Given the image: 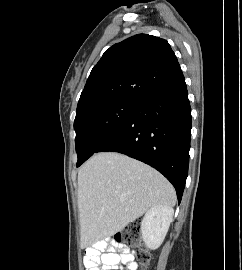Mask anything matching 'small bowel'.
<instances>
[{
  "instance_id": "small-bowel-1",
  "label": "small bowel",
  "mask_w": 242,
  "mask_h": 270,
  "mask_svg": "<svg viewBox=\"0 0 242 270\" xmlns=\"http://www.w3.org/2000/svg\"><path fill=\"white\" fill-rule=\"evenodd\" d=\"M121 252V253H118ZM87 270H137L135 252L116 243L102 241L87 251L85 257Z\"/></svg>"
}]
</instances>
